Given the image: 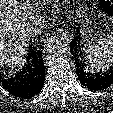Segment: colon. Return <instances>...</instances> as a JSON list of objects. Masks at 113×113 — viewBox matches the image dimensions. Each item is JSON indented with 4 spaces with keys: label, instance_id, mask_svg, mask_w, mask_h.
Instances as JSON below:
<instances>
[{
    "label": "colon",
    "instance_id": "1",
    "mask_svg": "<svg viewBox=\"0 0 113 113\" xmlns=\"http://www.w3.org/2000/svg\"><path fill=\"white\" fill-rule=\"evenodd\" d=\"M98 1L101 12L109 17H113V5H111L105 0H98Z\"/></svg>",
    "mask_w": 113,
    "mask_h": 113
}]
</instances>
